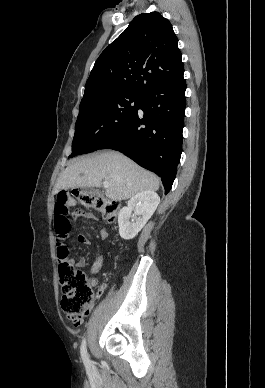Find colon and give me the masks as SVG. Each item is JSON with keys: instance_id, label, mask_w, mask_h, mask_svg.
Returning <instances> with one entry per match:
<instances>
[{"instance_id": "obj_1", "label": "colon", "mask_w": 265, "mask_h": 388, "mask_svg": "<svg viewBox=\"0 0 265 388\" xmlns=\"http://www.w3.org/2000/svg\"><path fill=\"white\" fill-rule=\"evenodd\" d=\"M82 205L98 212L103 219L112 222L121 208L119 202L104 196L77 195ZM74 200L67 191H59L54 205V227L56 232V255L59 268V281L62 289L61 305L66 317L78 323L87 313L93 302V291L85 273L76 269L68 261L69 250L66 241L71 231L69 205Z\"/></svg>"}]
</instances>
